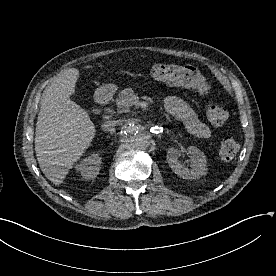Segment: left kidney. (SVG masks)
<instances>
[{"mask_svg": "<svg viewBox=\"0 0 276 276\" xmlns=\"http://www.w3.org/2000/svg\"><path fill=\"white\" fill-rule=\"evenodd\" d=\"M187 151L193 158L190 169L186 168L179 162L178 158L181 156L182 151L176 148H170L167 152V162L174 173L178 176L189 180L198 179L206 174V156L196 146H189Z\"/></svg>", "mask_w": 276, "mask_h": 276, "instance_id": "obj_1", "label": "left kidney"}]
</instances>
